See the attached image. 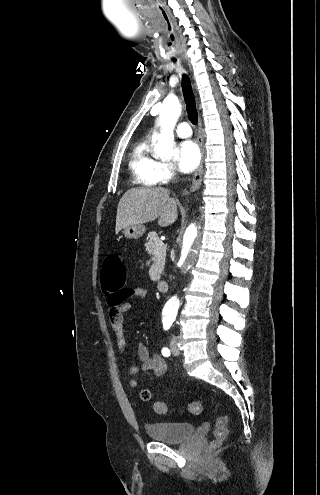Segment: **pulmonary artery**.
Returning a JSON list of instances; mask_svg holds the SVG:
<instances>
[{"mask_svg": "<svg viewBox=\"0 0 320 495\" xmlns=\"http://www.w3.org/2000/svg\"><path fill=\"white\" fill-rule=\"evenodd\" d=\"M176 133L181 138H187L191 136L192 130L187 122H181L176 127Z\"/></svg>", "mask_w": 320, "mask_h": 495, "instance_id": "obj_1", "label": "pulmonary artery"}]
</instances>
